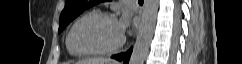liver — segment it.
<instances>
[{
  "label": "liver",
  "instance_id": "obj_1",
  "mask_svg": "<svg viewBox=\"0 0 242 64\" xmlns=\"http://www.w3.org/2000/svg\"><path fill=\"white\" fill-rule=\"evenodd\" d=\"M79 64H118L116 61H112L106 58H92L80 61Z\"/></svg>",
  "mask_w": 242,
  "mask_h": 64
}]
</instances>
